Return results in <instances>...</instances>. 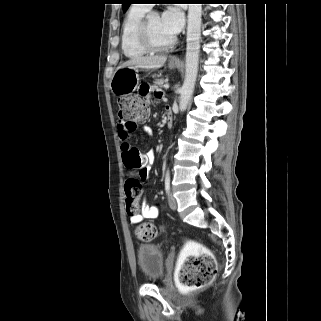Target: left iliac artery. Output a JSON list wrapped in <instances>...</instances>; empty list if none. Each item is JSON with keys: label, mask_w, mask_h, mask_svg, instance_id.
<instances>
[{"label": "left iliac artery", "mask_w": 321, "mask_h": 321, "mask_svg": "<svg viewBox=\"0 0 321 321\" xmlns=\"http://www.w3.org/2000/svg\"><path fill=\"white\" fill-rule=\"evenodd\" d=\"M165 190H166V193L169 195V193H170V175H169V170H167L166 177H165Z\"/></svg>", "instance_id": "obj_1"}]
</instances>
